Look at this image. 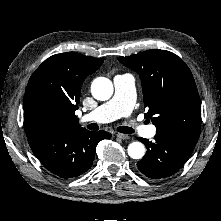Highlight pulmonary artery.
I'll list each match as a JSON object with an SVG mask.
<instances>
[{"label": "pulmonary artery", "instance_id": "pulmonary-artery-1", "mask_svg": "<svg viewBox=\"0 0 221 221\" xmlns=\"http://www.w3.org/2000/svg\"><path fill=\"white\" fill-rule=\"evenodd\" d=\"M114 87V96L91 113L82 116L81 122L105 123L130 115L135 103L134 77L130 74L117 75L114 78ZM132 128L148 138L156 134L154 125L144 126L133 122Z\"/></svg>", "mask_w": 221, "mask_h": 221}]
</instances>
